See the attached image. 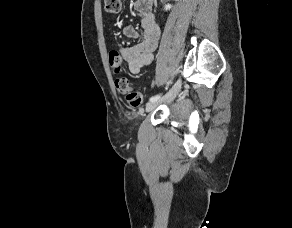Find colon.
<instances>
[{
    "mask_svg": "<svg viewBox=\"0 0 292 228\" xmlns=\"http://www.w3.org/2000/svg\"><path fill=\"white\" fill-rule=\"evenodd\" d=\"M105 11L108 14H116L121 9V0H105ZM110 66L114 72L118 73L122 68V61L117 54L111 52L109 55ZM117 90L125 96L126 103L131 107H139L143 103V95L139 91H134L129 86L126 79L120 78L116 81Z\"/></svg>",
    "mask_w": 292,
    "mask_h": 228,
    "instance_id": "1",
    "label": "colon"
}]
</instances>
